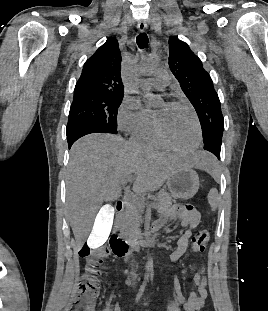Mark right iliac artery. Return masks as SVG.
<instances>
[{
    "label": "right iliac artery",
    "instance_id": "82829eb1",
    "mask_svg": "<svg viewBox=\"0 0 268 311\" xmlns=\"http://www.w3.org/2000/svg\"><path fill=\"white\" fill-rule=\"evenodd\" d=\"M145 286H146V281H144V282L141 284L140 288H139V291H138V293H137V295H136V298H135V302H136V303L140 300V298H141V296H142V294H143V292H144V290H145Z\"/></svg>",
    "mask_w": 268,
    "mask_h": 311
}]
</instances>
